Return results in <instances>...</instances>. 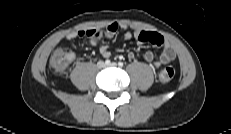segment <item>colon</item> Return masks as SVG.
<instances>
[{"label":"colon","mask_w":231,"mask_h":134,"mask_svg":"<svg viewBox=\"0 0 231 134\" xmlns=\"http://www.w3.org/2000/svg\"><path fill=\"white\" fill-rule=\"evenodd\" d=\"M70 62L69 52L57 49L50 58V67L58 73H63L68 68ZM174 75L175 70L172 67H166L160 71L158 80L161 83H168L173 79Z\"/></svg>","instance_id":"obj_1"}]
</instances>
